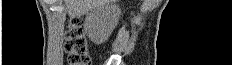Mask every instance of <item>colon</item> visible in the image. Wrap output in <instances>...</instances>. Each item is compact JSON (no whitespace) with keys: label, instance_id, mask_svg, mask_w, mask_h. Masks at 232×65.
I'll list each match as a JSON object with an SVG mask.
<instances>
[{"label":"colon","instance_id":"5ec220e1","mask_svg":"<svg viewBox=\"0 0 232 65\" xmlns=\"http://www.w3.org/2000/svg\"><path fill=\"white\" fill-rule=\"evenodd\" d=\"M65 50L68 54L69 65H90L91 58L88 45L82 28V21L78 17L70 20L65 33Z\"/></svg>","mask_w":232,"mask_h":65}]
</instances>
